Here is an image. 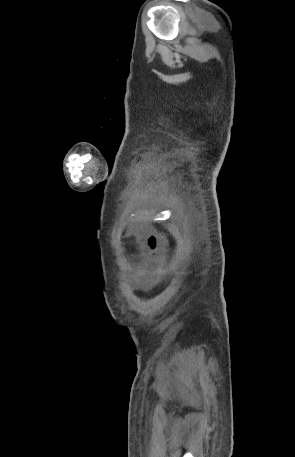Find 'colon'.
Instances as JSON below:
<instances>
[{"mask_svg": "<svg viewBox=\"0 0 295 457\" xmlns=\"http://www.w3.org/2000/svg\"><path fill=\"white\" fill-rule=\"evenodd\" d=\"M161 238L157 235H151L147 240V247L152 255H155L160 247Z\"/></svg>", "mask_w": 295, "mask_h": 457, "instance_id": "obj_1", "label": "colon"}]
</instances>
